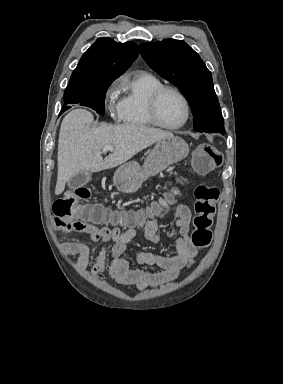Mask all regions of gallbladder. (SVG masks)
<instances>
[{
    "mask_svg": "<svg viewBox=\"0 0 283 384\" xmlns=\"http://www.w3.org/2000/svg\"><path fill=\"white\" fill-rule=\"evenodd\" d=\"M90 182V176L89 174H77V176H74V178H71L68 182L69 188L72 189V186H85V184H88Z\"/></svg>",
    "mask_w": 283,
    "mask_h": 384,
    "instance_id": "obj_1",
    "label": "gallbladder"
}]
</instances>
